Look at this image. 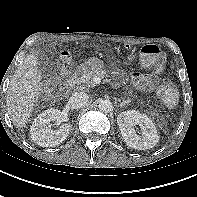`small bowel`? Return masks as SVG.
I'll use <instances>...</instances> for the list:
<instances>
[{
    "label": "small bowel",
    "mask_w": 197,
    "mask_h": 197,
    "mask_svg": "<svg viewBox=\"0 0 197 197\" xmlns=\"http://www.w3.org/2000/svg\"><path fill=\"white\" fill-rule=\"evenodd\" d=\"M158 78L155 75L135 73L132 76L134 86L144 92L151 91L157 84Z\"/></svg>",
    "instance_id": "obj_1"
}]
</instances>
